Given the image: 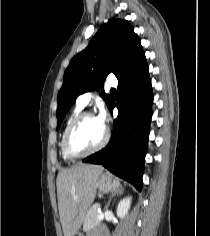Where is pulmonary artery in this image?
Returning a JSON list of instances; mask_svg holds the SVG:
<instances>
[{
  "label": "pulmonary artery",
  "instance_id": "e3ab8cb5",
  "mask_svg": "<svg viewBox=\"0 0 210 236\" xmlns=\"http://www.w3.org/2000/svg\"><path fill=\"white\" fill-rule=\"evenodd\" d=\"M107 85L111 86V87H116L118 84L117 79L115 78V76H109L107 78ZM93 91H87L84 92L83 94H81L78 98H77V105L80 107H85L89 101L91 100L92 96H93Z\"/></svg>",
  "mask_w": 210,
  "mask_h": 236
}]
</instances>
